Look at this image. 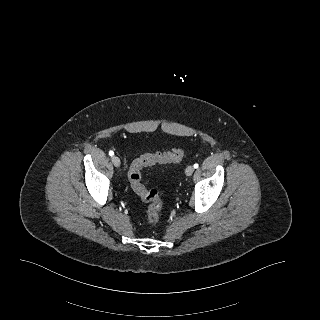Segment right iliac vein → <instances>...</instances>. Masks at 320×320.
<instances>
[{"label": "right iliac vein", "instance_id": "63e3f726", "mask_svg": "<svg viewBox=\"0 0 320 320\" xmlns=\"http://www.w3.org/2000/svg\"><path fill=\"white\" fill-rule=\"evenodd\" d=\"M112 163L115 167H120L121 161L117 156L112 157Z\"/></svg>", "mask_w": 320, "mask_h": 320}]
</instances>
